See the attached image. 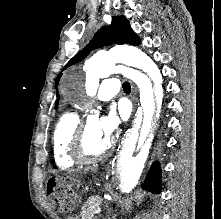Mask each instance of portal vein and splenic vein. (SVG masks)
I'll return each instance as SVG.
<instances>
[{
    "mask_svg": "<svg viewBox=\"0 0 221 219\" xmlns=\"http://www.w3.org/2000/svg\"><path fill=\"white\" fill-rule=\"evenodd\" d=\"M99 212H101V208H99V209L96 210V213H99Z\"/></svg>",
    "mask_w": 221,
    "mask_h": 219,
    "instance_id": "obj_1",
    "label": "portal vein and splenic vein"
}]
</instances>
